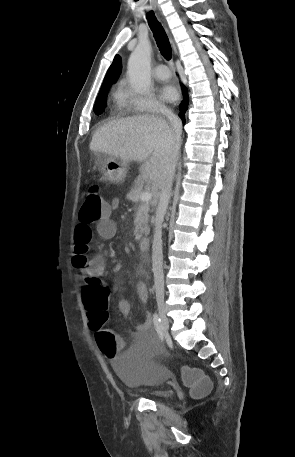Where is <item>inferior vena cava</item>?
<instances>
[{
    "label": "inferior vena cava",
    "instance_id": "inferior-vena-cava-1",
    "mask_svg": "<svg viewBox=\"0 0 295 457\" xmlns=\"http://www.w3.org/2000/svg\"><path fill=\"white\" fill-rule=\"evenodd\" d=\"M165 115L174 131L175 140L179 141L181 134V121L171 111L165 110L162 112ZM174 154L173 160L167 165L166 171L161 184V193L159 203L156 209L154 238L152 244V267L154 273V287L157 298H164V274H163V254H162V223L168 208V203L171 197L173 179L175 175V167L177 163Z\"/></svg>",
    "mask_w": 295,
    "mask_h": 457
}]
</instances>
